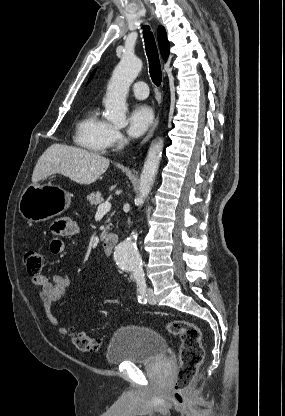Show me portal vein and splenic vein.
Here are the masks:
<instances>
[{
	"label": "portal vein and splenic vein",
	"instance_id": "1",
	"mask_svg": "<svg viewBox=\"0 0 285 416\" xmlns=\"http://www.w3.org/2000/svg\"><path fill=\"white\" fill-rule=\"evenodd\" d=\"M109 210H111L110 202H104V204H100V206H98L96 216H101V214H107Z\"/></svg>",
	"mask_w": 285,
	"mask_h": 416
}]
</instances>
